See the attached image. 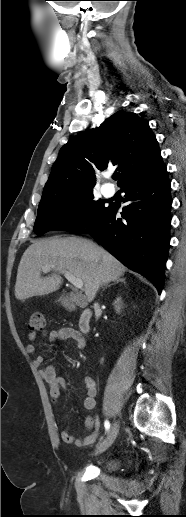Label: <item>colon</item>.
I'll return each instance as SVG.
<instances>
[{"label":"colon","instance_id":"colon-1","mask_svg":"<svg viewBox=\"0 0 186 517\" xmlns=\"http://www.w3.org/2000/svg\"><path fill=\"white\" fill-rule=\"evenodd\" d=\"M29 329L36 333L46 332V323L43 313L36 311L31 314L29 320Z\"/></svg>","mask_w":186,"mask_h":517}]
</instances>
